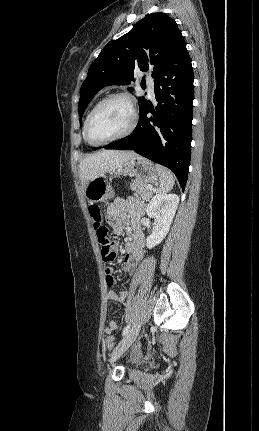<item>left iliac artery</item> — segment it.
<instances>
[{
  "label": "left iliac artery",
  "instance_id": "obj_1",
  "mask_svg": "<svg viewBox=\"0 0 259 431\" xmlns=\"http://www.w3.org/2000/svg\"><path fill=\"white\" fill-rule=\"evenodd\" d=\"M129 329H130V325H127V326L124 328L122 335H123V336H124V335H126V334L128 333V331H129Z\"/></svg>",
  "mask_w": 259,
  "mask_h": 431
}]
</instances>
